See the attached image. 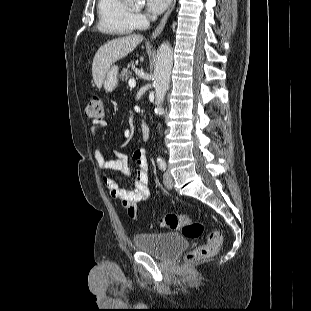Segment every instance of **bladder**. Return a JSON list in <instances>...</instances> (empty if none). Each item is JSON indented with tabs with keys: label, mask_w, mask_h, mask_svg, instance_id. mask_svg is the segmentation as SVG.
<instances>
[{
	"label": "bladder",
	"mask_w": 311,
	"mask_h": 311,
	"mask_svg": "<svg viewBox=\"0 0 311 311\" xmlns=\"http://www.w3.org/2000/svg\"><path fill=\"white\" fill-rule=\"evenodd\" d=\"M137 251L148 252L160 260L168 261L188 247L187 237L175 233H142L133 236Z\"/></svg>",
	"instance_id": "31cf9c89"
}]
</instances>
